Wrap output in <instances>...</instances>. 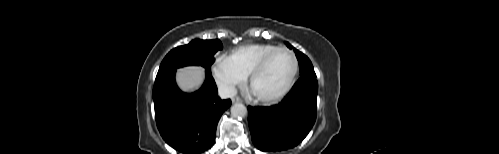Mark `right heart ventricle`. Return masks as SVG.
Listing matches in <instances>:
<instances>
[{"label": "right heart ventricle", "mask_w": 499, "mask_h": 154, "mask_svg": "<svg viewBox=\"0 0 499 154\" xmlns=\"http://www.w3.org/2000/svg\"><path fill=\"white\" fill-rule=\"evenodd\" d=\"M276 48L278 47L271 44L243 45L232 50L228 58L245 76H248L262 58Z\"/></svg>", "instance_id": "e07e8e85"}]
</instances>
